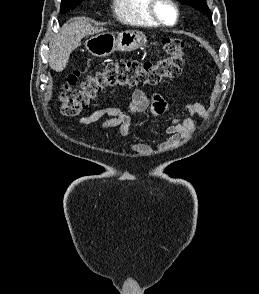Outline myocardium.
<instances>
[{
	"label": "myocardium",
	"instance_id": "1",
	"mask_svg": "<svg viewBox=\"0 0 259 294\" xmlns=\"http://www.w3.org/2000/svg\"><path fill=\"white\" fill-rule=\"evenodd\" d=\"M160 3H166L172 7L175 13V20L173 23H167L160 17L157 9ZM148 13L155 23L163 27H172L176 25L180 18L179 8L174 0H149Z\"/></svg>",
	"mask_w": 259,
	"mask_h": 294
}]
</instances>
